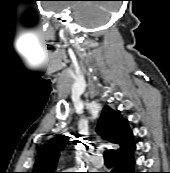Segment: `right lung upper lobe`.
I'll list each match as a JSON object with an SVG mask.
<instances>
[{"mask_svg":"<svg viewBox=\"0 0 170 173\" xmlns=\"http://www.w3.org/2000/svg\"><path fill=\"white\" fill-rule=\"evenodd\" d=\"M97 133L111 143L119 145L114 154L121 152L133 143V133L129 128L127 119H124L120 111L106 106L102 110L101 118L97 126ZM69 142L66 135H57L45 143L39 150L32 173H55L56 163L60 151Z\"/></svg>","mask_w":170,"mask_h":173,"instance_id":"1","label":"right lung upper lobe"}]
</instances>
